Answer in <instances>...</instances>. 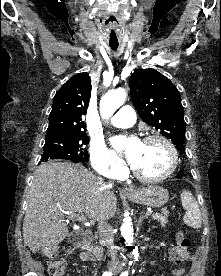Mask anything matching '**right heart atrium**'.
<instances>
[{
    "mask_svg": "<svg viewBox=\"0 0 221 276\" xmlns=\"http://www.w3.org/2000/svg\"><path fill=\"white\" fill-rule=\"evenodd\" d=\"M89 152L91 164L97 173L111 179L123 175L124 162L102 140L92 141Z\"/></svg>",
    "mask_w": 221,
    "mask_h": 276,
    "instance_id": "right-heart-atrium-1",
    "label": "right heart atrium"
}]
</instances>
